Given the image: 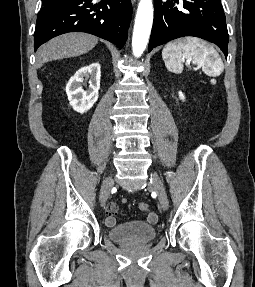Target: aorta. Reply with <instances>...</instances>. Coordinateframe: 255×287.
Returning <instances> with one entry per match:
<instances>
[{
    "instance_id": "1",
    "label": "aorta",
    "mask_w": 255,
    "mask_h": 287,
    "mask_svg": "<svg viewBox=\"0 0 255 287\" xmlns=\"http://www.w3.org/2000/svg\"><path fill=\"white\" fill-rule=\"evenodd\" d=\"M153 22L152 0H140L132 37V50L136 57L146 49Z\"/></svg>"
}]
</instances>
